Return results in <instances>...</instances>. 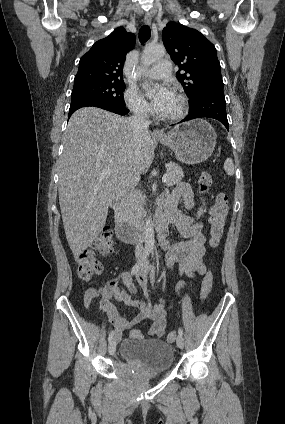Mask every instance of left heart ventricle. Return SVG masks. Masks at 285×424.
Here are the masks:
<instances>
[{"instance_id":"1","label":"left heart ventricle","mask_w":285,"mask_h":424,"mask_svg":"<svg viewBox=\"0 0 285 424\" xmlns=\"http://www.w3.org/2000/svg\"><path fill=\"white\" fill-rule=\"evenodd\" d=\"M181 109V102L176 95L173 96L166 109L160 114L161 116H172L177 114Z\"/></svg>"}]
</instances>
